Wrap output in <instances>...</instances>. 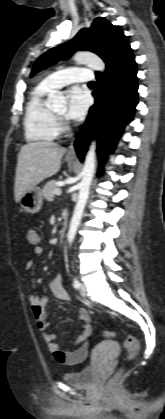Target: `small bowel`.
<instances>
[{"label": "small bowel", "instance_id": "1", "mask_svg": "<svg viewBox=\"0 0 165 419\" xmlns=\"http://www.w3.org/2000/svg\"><path fill=\"white\" fill-rule=\"evenodd\" d=\"M36 236V241L31 240V236ZM28 241L33 244L32 253L34 256H41L43 254V248L38 245L40 237L37 231H28ZM34 266V262L28 261L26 264V270H31ZM50 288L53 294L62 301H68L70 299L68 292L65 290L62 284V274L58 273L52 279ZM29 303L32 308V313L39 331L43 333L44 340L50 352L53 354L55 360L60 364L75 365L83 362L91 349L89 337L91 334V322L88 311L85 308L78 310V318L82 321V328L71 345V350H64L55 341L56 337L54 334L47 333L46 330L49 327L44 314V307L48 303V298L45 296H29Z\"/></svg>", "mask_w": 165, "mask_h": 419}]
</instances>
